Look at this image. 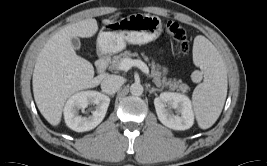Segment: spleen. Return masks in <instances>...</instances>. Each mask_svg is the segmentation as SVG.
<instances>
[{
    "label": "spleen",
    "instance_id": "1",
    "mask_svg": "<svg viewBox=\"0 0 267 166\" xmlns=\"http://www.w3.org/2000/svg\"><path fill=\"white\" fill-rule=\"evenodd\" d=\"M193 61L204 74L196 86L192 103L198 125L210 128L220 116L227 96V72L217 49L204 36H197L193 45Z\"/></svg>",
    "mask_w": 267,
    "mask_h": 166
}]
</instances>
